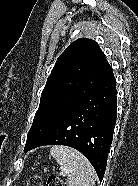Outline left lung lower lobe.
I'll list each match as a JSON object with an SVG mask.
<instances>
[{
  "label": "left lung lower lobe",
  "instance_id": "obj_1",
  "mask_svg": "<svg viewBox=\"0 0 138 186\" xmlns=\"http://www.w3.org/2000/svg\"><path fill=\"white\" fill-rule=\"evenodd\" d=\"M116 80L113 72L67 115L24 152L44 145H66L80 151L102 181L116 124Z\"/></svg>",
  "mask_w": 138,
  "mask_h": 186
}]
</instances>
